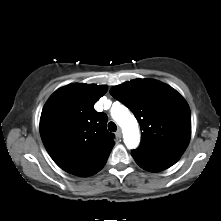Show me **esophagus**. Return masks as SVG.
I'll list each match as a JSON object with an SVG mask.
<instances>
[{
  "instance_id": "obj_1",
  "label": "esophagus",
  "mask_w": 221,
  "mask_h": 221,
  "mask_svg": "<svg viewBox=\"0 0 221 221\" xmlns=\"http://www.w3.org/2000/svg\"><path fill=\"white\" fill-rule=\"evenodd\" d=\"M116 137L119 138V139L122 137V131H121V129H118V130H117V132H116Z\"/></svg>"
}]
</instances>
